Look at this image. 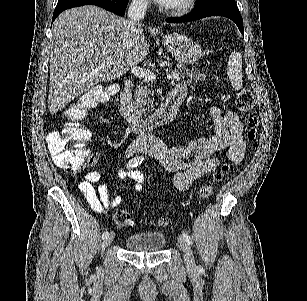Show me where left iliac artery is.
Returning <instances> with one entry per match:
<instances>
[{"label":"left iliac artery","mask_w":307,"mask_h":301,"mask_svg":"<svg viewBox=\"0 0 307 301\" xmlns=\"http://www.w3.org/2000/svg\"><path fill=\"white\" fill-rule=\"evenodd\" d=\"M182 236L188 242V244H192V239L187 233L183 232Z\"/></svg>","instance_id":"44dca946"}]
</instances>
